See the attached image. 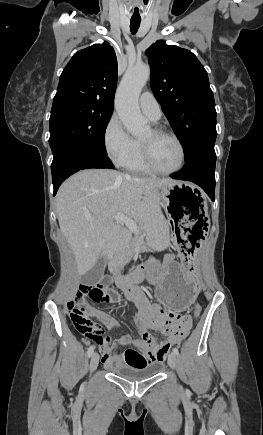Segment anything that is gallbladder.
Returning <instances> with one entry per match:
<instances>
[{
    "mask_svg": "<svg viewBox=\"0 0 263 435\" xmlns=\"http://www.w3.org/2000/svg\"><path fill=\"white\" fill-rule=\"evenodd\" d=\"M106 261L104 258H100L94 267L82 276V283L86 285H95L102 277L105 270Z\"/></svg>",
    "mask_w": 263,
    "mask_h": 435,
    "instance_id": "1",
    "label": "gallbladder"
}]
</instances>
